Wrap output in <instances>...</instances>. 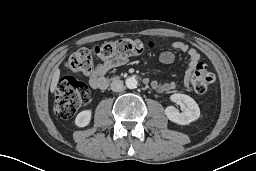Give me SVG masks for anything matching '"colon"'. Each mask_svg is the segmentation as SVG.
<instances>
[{
	"label": "colon",
	"mask_w": 256,
	"mask_h": 171,
	"mask_svg": "<svg viewBox=\"0 0 256 171\" xmlns=\"http://www.w3.org/2000/svg\"><path fill=\"white\" fill-rule=\"evenodd\" d=\"M145 48L146 44L138 39H119L92 48H81L69 56L65 68L69 72L88 74L92 71L94 58L126 59L141 54ZM214 79V74L203 62H198L190 75L193 90L199 95H204L211 89ZM89 98L90 91L85 83L72 76H65L57 84L55 113L60 118H70Z\"/></svg>",
	"instance_id": "5ec220e1"
}]
</instances>
